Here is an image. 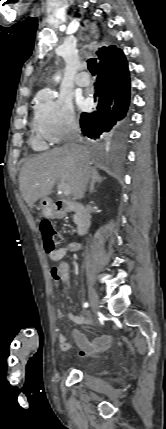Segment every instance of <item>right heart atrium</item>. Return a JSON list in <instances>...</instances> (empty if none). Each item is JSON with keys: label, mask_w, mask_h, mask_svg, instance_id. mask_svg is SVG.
Returning <instances> with one entry per match:
<instances>
[{"label": "right heart atrium", "mask_w": 166, "mask_h": 429, "mask_svg": "<svg viewBox=\"0 0 166 429\" xmlns=\"http://www.w3.org/2000/svg\"><path fill=\"white\" fill-rule=\"evenodd\" d=\"M33 124L40 136L58 143L77 131L79 120L69 97L47 90L35 102Z\"/></svg>", "instance_id": "1"}]
</instances>
